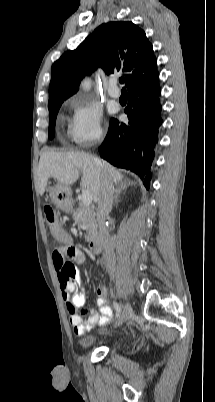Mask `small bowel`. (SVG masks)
Instances as JSON below:
<instances>
[{
  "instance_id": "1",
  "label": "small bowel",
  "mask_w": 215,
  "mask_h": 402,
  "mask_svg": "<svg viewBox=\"0 0 215 402\" xmlns=\"http://www.w3.org/2000/svg\"><path fill=\"white\" fill-rule=\"evenodd\" d=\"M52 261L57 272L61 295L66 303L69 321L75 334L82 335L97 324L106 325L112 317V309L107 304V288L104 285L98 286L96 290L99 311L90 310L86 319H83L82 314L78 311L85 303L83 281L75 268V265H81L85 261L82 250L74 246L69 239L68 244L53 251ZM68 266H70L69 270Z\"/></svg>"
}]
</instances>
